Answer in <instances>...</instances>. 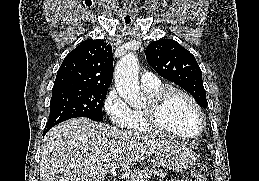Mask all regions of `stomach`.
I'll return each instance as SVG.
<instances>
[{"instance_id": "0dacf381", "label": "stomach", "mask_w": 259, "mask_h": 181, "mask_svg": "<svg viewBox=\"0 0 259 181\" xmlns=\"http://www.w3.org/2000/svg\"><path fill=\"white\" fill-rule=\"evenodd\" d=\"M156 160L162 167L180 172L194 165L196 154L184 144L173 142L164 150L157 153Z\"/></svg>"}]
</instances>
